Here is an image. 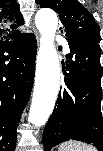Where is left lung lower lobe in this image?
<instances>
[{
    "label": "left lung lower lobe",
    "instance_id": "left-lung-lower-lobe-1",
    "mask_svg": "<svg viewBox=\"0 0 103 151\" xmlns=\"http://www.w3.org/2000/svg\"><path fill=\"white\" fill-rule=\"evenodd\" d=\"M68 43V73L64 72L65 85L60 89L54 112L45 128L44 150L50 151L52 147L73 139L103 151L101 48L94 42Z\"/></svg>",
    "mask_w": 103,
    "mask_h": 151
}]
</instances>
